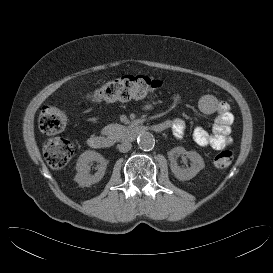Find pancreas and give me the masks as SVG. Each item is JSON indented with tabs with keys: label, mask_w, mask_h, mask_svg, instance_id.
<instances>
[{
	"label": "pancreas",
	"mask_w": 273,
	"mask_h": 273,
	"mask_svg": "<svg viewBox=\"0 0 273 273\" xmlns=\"http://www.w3.org/2000/svg\"><path fill=\"white\" fill-rule=\"evenodd\" d=\"M127 127L120 124H108L102 129V134L108 136L110 139L119 140L127 131Z\"/></svg>",
	"instance_id": "pancreas-1"
}]
</instances>
